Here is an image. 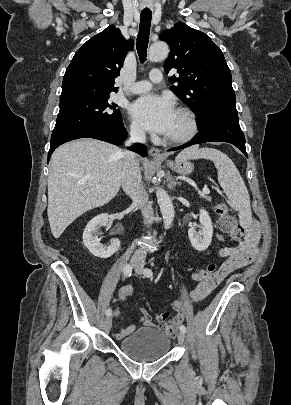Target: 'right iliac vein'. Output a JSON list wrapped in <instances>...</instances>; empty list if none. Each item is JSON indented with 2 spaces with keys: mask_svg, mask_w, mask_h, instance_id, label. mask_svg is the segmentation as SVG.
Returning a JSON list of instances; mask_svg holds the SVG:
<instances>
[{
  "mask_svg": "<svg viewBox=\"0 0 291 405\" xmlns=\"http://www.w3.org/2000/svg\"><path fill=\"white\" fill-rule=\"evenodd\" d=\"M130 264H131V266H133V268H135V269L139 266L138 262H137L136 260H134V259L131 260ZM111 323H112V321H111V318H110L109 316L104 319V329H105V331H109V330H110V328H111Z\"/></svg>",
  "mask_w": 291,
  "mask_h": 405,
  "instance_id": "1",
  "label": "right iliac vein"
}]
</instances>
